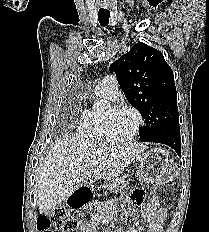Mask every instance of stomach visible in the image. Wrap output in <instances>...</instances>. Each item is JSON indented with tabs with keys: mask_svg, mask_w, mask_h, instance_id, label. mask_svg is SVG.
<instances>
[{
	"mask_svg": "<svg viewBox=\"0 0 209 232\" xmlns=\"http://www.w3.org/2000/svg\"><path fill=\"white\" fill-rule=\"evenodd\" d=\"M139 179L145 183H154L162 179L169 171V154L161 148H153L141 154ZM120 183H133V178H120ZM115 186V183H112ZM121 190V187H118ZM94 191H100V196H109L111 186H94ZM98 195V192H95Z\"/></svg>",
	"mask_w": 209,
	"mask_h": 232,
	"instance_id": "0dacf381",
	"label": "stomach"
}]
</instances>
